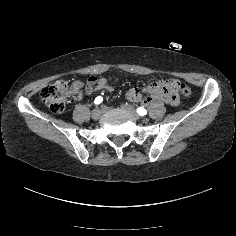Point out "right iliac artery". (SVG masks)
Segmentation results:
<instances>
[{
	"instance_id": "82829eb1",
	"label": "right iliac artery",
	"mask_w": 236,
	"mask_h": 236,
	"mask_svg": "<svg viewBox=\"0 0 236 236\" xmlns=\"http://www.w3.org/2000/svg\"><path fill=\"white\" fill-rule=\"evenodd\" d=\"M102 101H103V98L101 96H98V97L95 98L94 103L95 104H100Z\"/></svg>"
}]
</instances>
